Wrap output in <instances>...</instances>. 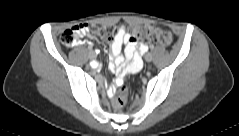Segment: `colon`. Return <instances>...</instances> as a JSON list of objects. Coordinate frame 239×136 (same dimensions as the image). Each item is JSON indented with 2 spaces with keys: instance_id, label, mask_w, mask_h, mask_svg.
Masks as SVG:
<instances>
[{
  "instance_id": "colon-1",
  "label": "colon",
  "mask_w": 239,
  "mask_h": 136,
  "mask_svg": "<svg viewBox=\"0 0 239 136\" xmlns=\"http://www.w3.org/2000/svg\"><path fill=\"white\" fill-rule=\"evenodd\" d=\"M117 33V27L113 24L100 26V25H89V24H78L63 32L61 35V42L65 46H74L80 36L91 34L97 36L103 40H111ZM132 38L137 41L141 40L144 42L155 41L164 46H171L173 42L172 35L164 30L154 28L152 26H138L131 30ZM116 95L112 100L113 108L120 110L124 107L127 101V89L121 83L118 85Z\"/></svg>"
}]
</instances>
